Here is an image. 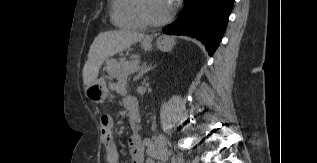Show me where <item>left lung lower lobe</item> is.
Returning <instances> with one entry per match:
<instances>
[{"label": "left lung lower lobe", "mask_w": 317, "mask_h": 163, "mask_svg": "<svg viewBox=\"0 0 317 163\" xmlns=\"http://www.w3.org/2000/svg\"><path fill=\"white\" fill-rule=\"evenodd\" d=\"M233 4L234 0H187L177 20L163 32L197 38L212 56L222 40Z\"/></svg>", "instance_id": "1"}]
</instances>
